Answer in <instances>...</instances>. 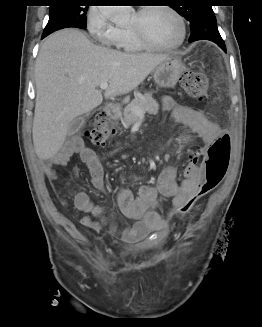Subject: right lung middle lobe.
I'll list each match as a JSON object with an SVG mask.
<instances>
[{"instance_id":"dd1d6c3e","label":"right lung middle lobe","mask_w":262,"mask_h":327,"mask_svg":"<svg viewBox=\"0 0 262 327\" xmlns=\"http://www.w3.org/2000/svg\"><path fill=\"white\" fill-rule=\"evenodd\" d=\"M88 6H79L76 0H56L50 7L49 21L43 34L50 33L67 27L85 29L86 13Z\"/></svg>"}]
</instances>
